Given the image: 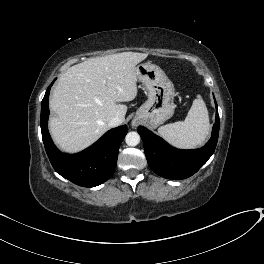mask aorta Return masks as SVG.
Listing matches in <instances>:
<instances>
[{
    "label": "aorta",
    "instance_id": "aorta-1",
    "mask_svg": "<svg viewBox=\"0 0 264 264\" xmlns=\"http://www.w3.org/2000/svg\"><path fill=\"white\" fill-rule=\"evenodd\" d=\"M126 144L128 146H136L140 142V136L137 132H129L125 137Z\"/></svg>",
    "mask_w": 264,
    "mask_h": 264
}]
</instances>
